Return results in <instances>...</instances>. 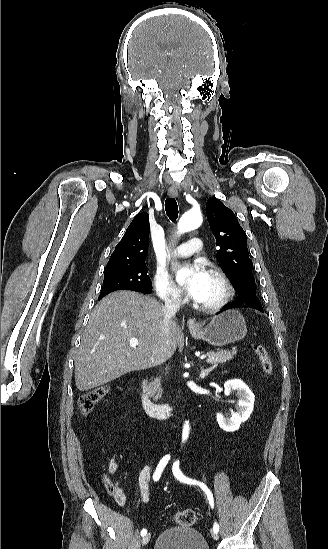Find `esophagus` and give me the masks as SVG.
Listing matches in <instances>:
<instances>
[{
  "label": "esophagus",
  "instance_id": "obj_1",
  "mask_svg": "<svg viewBox=\"0 0 328 549\" xmlns=\"http://www.w3.org/2000/svg\"><path fill=\"white\" fill-rule=\"evenodd\" d=\"M168 195L170 197H177L178 195V189L175 185H172L171 187H169L168 189ZM187 325H188V328L190 330H194L197 328V323H196V320L194 318H190L188 319L187 321Z\"/></svg>",
  "mask_w": 328,
  "mask_h": 549
}]
</instances>
